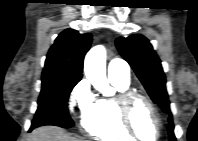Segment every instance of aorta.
Here are the masks:
<instances>
[{
	"label": "aorta",
	"instance_id": "aorta-1",
	"mask_svg": "<svg viewBox=\"0 0 198 141\" xmlns=\"http://www.w3.org/2000/svg\"><path fill=\"white\" fill-rule=\"evenodd\" d=\"M84 73L93 87L106 97L114 94L106 77V49L97 45L90 49L84 61Z\"/></svg>",
	"mask_w": 198,
	"mask_h": 141
}]
</instances>
